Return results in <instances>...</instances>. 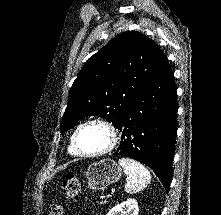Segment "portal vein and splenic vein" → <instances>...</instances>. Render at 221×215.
Listing matches in <instances>:
<instances>
[{"mask_svg":"<svg viewBox=\"0 0 221 215\" xmlns=\"http://www.w3.org/2000/svg\"><path fill=\"white\" fill-rule=\"evenodd\" d=\"M111 192L113 193V192H114V190H112ZM107 197H111V195H110V194H108V195H107Z\"/></svg>","mask_w":221,"mask_h":215,"instance_id":"obj_1","label":"portal vein and splenic vein"}]
</instances>
